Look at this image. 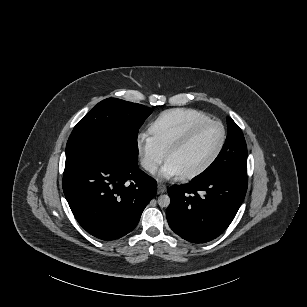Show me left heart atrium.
Wrapping results in <instances>:
<instances>
[{"instance_id":"left-heart-atrium-1","label":"left heart atrium","mask_w":307,"mask_h":307,"mask_svg":"<svg viewBox=\"0 0 307 307\" xmlns=\"http://www.w3.org/2000/svg\"><path fill=\"white\" fill-rule=\"evenodd\" d=\"M174 176H181L178 170L170 163L168 162L162 171L160 172V177L163 179L171 178Z\"/></svg>"}]
</instances>
